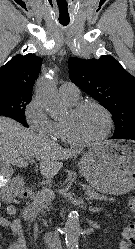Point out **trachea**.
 Here are the masks:
<instances>
[{"label": "trachea", "instance_id": "1", "mask_svg": "<svg viewBox=\"0 0 135 249\" xmlns=\"http://www.w3.org/2000/svg\"><path fill=\"white\" fill-rule=\"evenodd\" d=\"M62 25L66 26L68 23H61Z\"/></svg>", "mask_w": 135, "mask_h": 249}]
</instances>
